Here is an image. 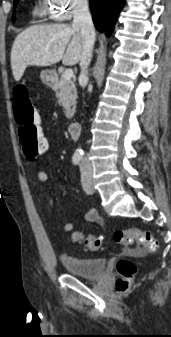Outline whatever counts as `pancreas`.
<instances>
[{
  "label": "pancreas",
  "mask_w": 171,
  "mask_h": 337,
  "mask_svg": "<svg viewBox=\"0 0 171 337\" xmlns=\"http://www.w3.org/2000/svg\"><path fill=\"white\" fill-rule=\"evenodd\" d=\"M59 104L65 109V116L71 119L75 112L77 91L72 80H66L63 75L55 88Z\"/></svg>",
  "instance_id": "cf45deb5"
}]
</instances>
